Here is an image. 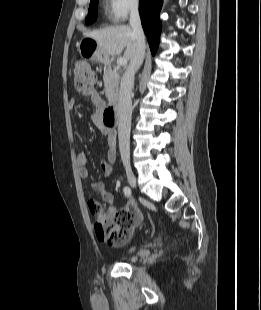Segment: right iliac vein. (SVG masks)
<instances>
[{
  "instance_id": "1",
  "label": "right iliac vein",
  "mask_w": 261,
  "mask_h": 310,
  "mask_svg": "<svg viewBox=\"0 0 261 310\" xmlns=\"http://www.w3.org/2000/svg\"><path fill=\"white\" fill-rule=\"evenodd\" d=\"M126 175H127V180H128V183L130 184V186L133 188H136L137 182H136V178H135L133 172L130 169H128L126 171Z\"/></svg>"
}]
</instances>
